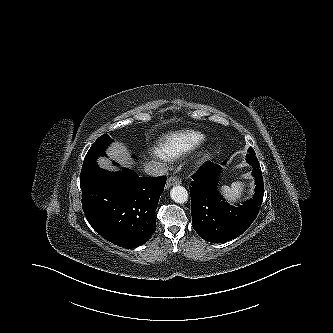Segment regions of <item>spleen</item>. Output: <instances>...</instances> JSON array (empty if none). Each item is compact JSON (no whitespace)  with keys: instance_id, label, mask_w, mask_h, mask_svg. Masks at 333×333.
Listing matches in <instances>:
<instances>
[{"instance_id":"3e777b00","label":"spleen","mask_w":333,"mask_h":333,"mask_svg":"<svg viewBox=\"0 0 333 333\" xmlns=\"http://www.w3.org/2000/svg\"><path fill=\"white\" fill-rule=\"evenodd\" d=\"M244 183L243 182H233L231 186H222L220 188L221 193L224 197L230 201H236L240 199L243 195Z\"/></svg>"}]
</instances>
